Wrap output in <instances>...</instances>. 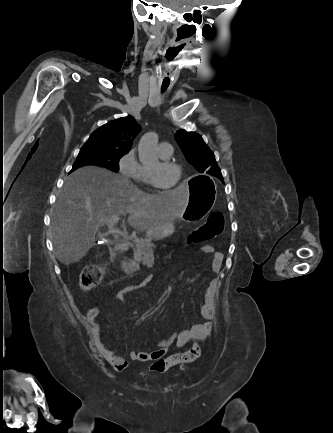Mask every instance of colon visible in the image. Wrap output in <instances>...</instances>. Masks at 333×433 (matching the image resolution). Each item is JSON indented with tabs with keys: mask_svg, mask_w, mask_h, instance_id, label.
Instances as JSON below:
<instances>
[{
	"mask_svg": "<svg viewBox=\"0 0 333 433\" xmlns=\"http://www.w3.org/2000/svg\"><path fill=\"white\" fill-rule=\"evenodd\" d=\"M224 216L220 211L210 213L206 221L191 232L187 238L188 244H202L213 240L223 232ZM106 268L103 266L92 265L82 269L79 285L83 290H91L97 287L104 278ZM201 356V348L197 342L182 353L170 355L167 358L159 360L150 366L152 372L165 373L169 369L180 364L191 363Z\"/></svg>",
	"mask_w": 333,
	"mask_h": 433,
	"instance_id": "1",
	"label": "colon"
}]
</instances>
